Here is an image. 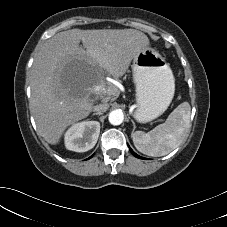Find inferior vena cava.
I'll return each mask as SVG.
<instances>
[{
    "mask_svg": "<svg viewBox=\"0 0 227 227\" xmlns=\"http://www.w3.org/2000/svg\"><path fill=\"white\" fill-rule=\"evenodd\" d=\"M109 108V105L108 103L104 102L102 104H98V105H95L93 107V110L96 111V112H105L107 111V109Z\"/></svg>",
    "mask_w": 227,
    "mask_h": 227,
    "instance_id": "1",
    "label": "inferior vena cava"
}]
</instances>
